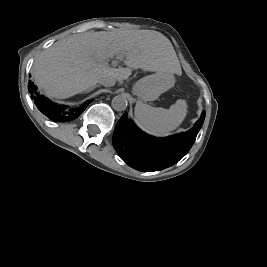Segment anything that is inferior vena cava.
Listing matches in <instances>:
<instances>
[{
	"instance_id": "602c4592",
	"label": "inferior vena cava",
	"mask_w": 267,
	"mask_h": 267,
	"mask_svg": "<svg viewBox=\"0 0 267 267\" xmlns=\"http://www.w3.org/2000/svg\"><path fill=\"white\" fill-rule=\"evenodd\" d=\"M116 80L113 78H108V77H102L98 80V83L101 85H104L106 87H111L115 85Z\"/></svg>"
}]
</instances>
